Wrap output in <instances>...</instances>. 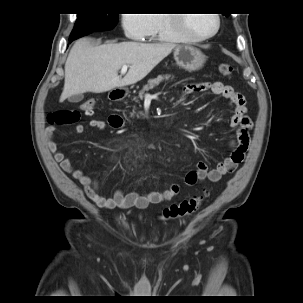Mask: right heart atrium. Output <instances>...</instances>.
I'll use <instances>...</instances> for the list:
<instances>
[{"instance_id":"1","label":"right heart atrium","mask_w":303,"mask_h":303,"mask_svg":"<svg viewBox=\"0 0 303 303\" xmlns=\"http://www.w3.org/2000/svg\"><path fill=\"white\" fill-rule=\"evenodd\" d=\"M121 23L126 37L131 40H142L152 27L150 14H124Z\"/></svg>"}]
</instances>
